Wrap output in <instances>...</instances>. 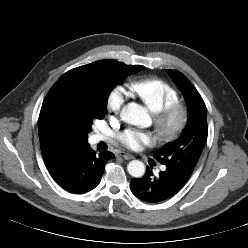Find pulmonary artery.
I'll list each match as a JSON object with an SVG mask.
<instances>
[{
    "label": "pulmonary artery",
    "mask_w": 248,
    "mask_h": 248,
    "mask_svg": "<svg viewBox=\"0 0 248 248\" xmlns=\"http://www.w3.org/2000/svg\"><path fill=\"white\" fill-rule=\"evenodd\" d=\"M102 140H105V137L101 134H96L92 138V143H97V142L102 141ZM165 169H166V167L163 166L162 170H165Z\"/></svg>",
    "instance_id": "pulmonary-artery-1"
}]
</instances>
